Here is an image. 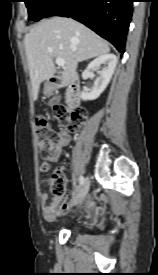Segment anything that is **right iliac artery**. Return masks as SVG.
Instances as JSON below:
<instances>
[{"label":"right iliac artery","instance_id":"82829eb1","mask_svg":"<svg viewBox=\"0 0 158 275\" xmlns=\"http://www.w3.org/2000/svg\"><path fill=\"white\" fill-rule=\"evenodd\" d=\"M79 182H80V185H83V184H84V177H83V176H80Z\"/></svg>","mask_w":158,"mask_h":275}]
</instances>
